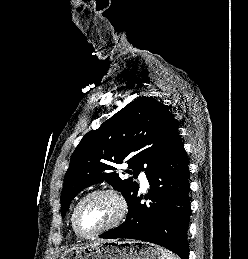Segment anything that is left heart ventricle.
I'll list each match as a JSON object with an SVG mask.
<instances>
[{
	"label": "left heart ventricle",
	"mask_w": 248,
	"mask_h": 259,
	"mask_svg": "<svg viewBox=\"0 0 248 259\" xmlns=\"http://www.w3.org/2000/svg\"><path fill=\"white\" fill-rule=\"evenodd\" d=\"M119 212L117 201L110 195H97L80 207L77 221L85 233H93L111 223Z\"/></svg>",
	"instance_id": "b2bd125f"
}]
</instances>
